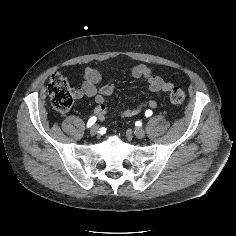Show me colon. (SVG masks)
Segmentation results:
<instances>
[{"label":"colon","instance_id":"5ec220e1","mask_svg":"<svg viewBox=\"0 0 236 236\" xmlns=\"http://www.w3.org/2000/svg\"><path fill=\"white\" fill-rule=\"evenodd\" d=\"M48 93L53 107L58 111H67L71 108L74 96L67 79L59 73L54 74L48 83ZM185 100V93L180 88H173L170 101L181 104Z\"/></svg>","mask_w":236,"mask_h":236}]
</instances>
